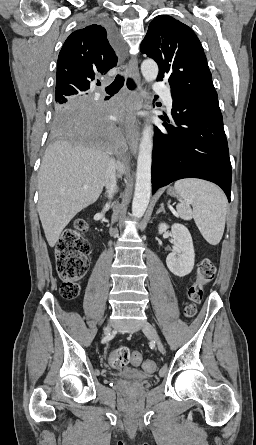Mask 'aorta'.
Wrapping results in <instances>:
<instances>
[{
	"label": "aorta",
	"mask_w": 256,
	"mask_h": 445,
	"mask_svg": "<svg viewBox=\"0 0 256 445\" xmlns=\"http://www.w3.org/2000/svg\"><path fill=\"white\" fill-rule=\"evenodd\" d=\"M141 72L147 82H152L158 76V65L152 59L144 60L141 64ZM152 149L153 127L146 124L142 131L137 158L136 184L132 202V215L135 218H141L144 215L150 201Z\"/></svg>",
	"instance_id": "762f6f07"
}]
</instances>
